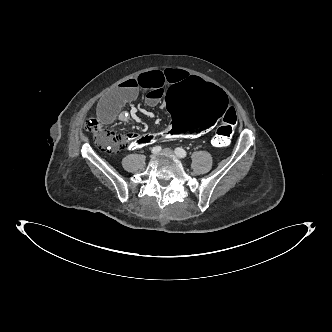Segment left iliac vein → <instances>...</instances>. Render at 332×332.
Listing matches in <instances>:
<instances>
[{"label":"left iliac vein","instance_id":"obj_1","mask_svg":"<svg viewBox=\"0 0 332 332\" xmlns=\"http://www.w3.org/2000/svg\"><path fill=\"white\" fill-rule=\"evenodd\" d=\"M162 154H166V155H174V151L169 149V148H165L161 151Z\"/></svg>","mask_w":332,"mask_h":332}]
</instances>
